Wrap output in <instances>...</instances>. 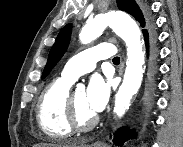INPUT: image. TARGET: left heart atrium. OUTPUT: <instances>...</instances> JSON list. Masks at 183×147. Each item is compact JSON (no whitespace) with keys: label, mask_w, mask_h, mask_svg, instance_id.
Returning a JSON list of instances; mask_svg holds the SVG:
<instances>
[{"label":"left heart atrium","mask_w":183,"mask_h":147,"mask_svg":"<svg viewBox=\"0 0 183 147\" xmlns=\"http://www.w3.org/2000/svg\"><path fill=\"white\" fill-rule=\"evenodd\" d=\"M110 96V85L103 78H91L86 91V104L93 114L100 113L106 106Z\"/></svg>","instance_id":"39dd6f15"}]
</instances>
